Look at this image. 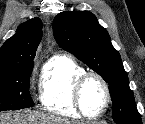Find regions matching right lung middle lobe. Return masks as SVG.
Segmentation results:
<instances>
[{
	"label": "right lung middle lobe",
	"mask_w": 145,
	"mask_h": 124,
	"mask_svg": "<svg viewBox=\"0 0 145 124\" xmlns=\"http://www.w3.org/2000/svg\"><path fill=\"white\" fill-rule=\"evenodd\" d=\"M32 70L33 62L12 69H0V111L34 105L29 93Z\"/></svg>",
	"instance_id": "dd1d6c3e"
}]
</instances>
